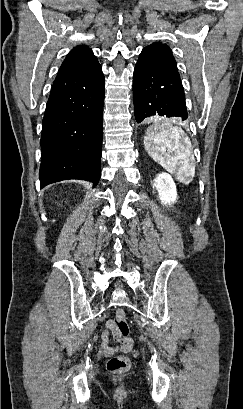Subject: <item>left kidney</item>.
Listing matches in <instances>:
<instances>
[{
    "mask_svg": "<svg viewBox=\"0 0 243 409\" xmlns=\"http://www.w3.org/2000/svg\"><path fill=\"white\" fill-rule=\"evenodd\" d=\"M153 187L158 191L162 205H171L177 200L176 185L172 177L167 173H160L154 180Z\"/></svg>",
    "mask_w": 243,
    "mask_h": 409,
    "instance_id": "1",
    "label": "left kidney"
}]
</instances>
